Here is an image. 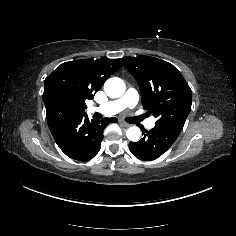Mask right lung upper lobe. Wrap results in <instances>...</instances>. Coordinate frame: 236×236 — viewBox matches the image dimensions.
I'll use <instances>...</instances> for the list:
<instances>
[{
	"label": "right lung upper lobe",
	"instance_id": "obj_1",
	"mask_svg": "<svg viewBox=\"0 0 236 236\" xmlns=\"http://www.w3.org/2000/svg\"><path fill=\"white\" fill-rule=\"evenodd\" d=\"M122 59L75 60L59 65L46 79L43 100L47 121L85 114L86 100L102 87L106 79L122 66ZM54 110L63 118L50 115Z\"/></svg>",
	"mask_w": 236,
	"mask_h": 236
}]
</instances>
